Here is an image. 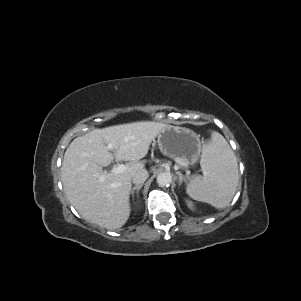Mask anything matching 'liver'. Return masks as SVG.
<instances>
[{
	"mask_svg": "<svg viewBox=\"0 0 301 301\" xmlns=\"http://www.w3.org/2000/svg\"><path fill=\"white\" fill-rule=\"evenodd\" d=\"M166 126L152 121L115 125L93 130L71 142L61 167L62 183L69 201L85 220L107 229L121 228L127 222L131 179L144 168L139 160ZM113 159L129 161L125 172L103 173L102 168Z\"/></svg>",
	"mask_w": 301,
	"mask_h": 301,
	"instance_id": "1",
	"label": "liver"
}]
</instances>
